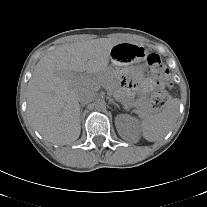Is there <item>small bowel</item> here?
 I'll return each instance as SVG.
<instances>
[{
    "label": "small bowel",
    "instance_id": "small-bowel-1",
    "mask_svg": "<svg viewBox=\"0 0 207 207\" xmlns=\"http://www.w3.org/2000/svg\"><path fill=\"white\" fill-rule=\"evenodd\" d=\"M153 86H154V84L151 80L146 79L143 81V89L145 91L151 90L153 88Z\"/></svg>",
    "mask_w": 207,
    "mask_h": 207
}]
</instances>
